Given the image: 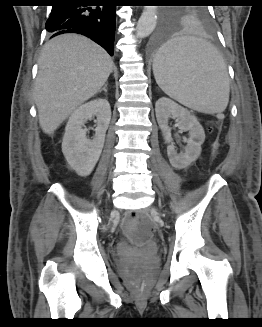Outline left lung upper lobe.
Returning a JSON list of instances; mask_svg holds the SVG:
<instances>
[{
	"label": "left lung upper lobe",
	"mask_w": 262,
	"mask_h": 327,
	"mask_svg": "<svg viewBox=\"0 0 262 327\" xmlns=\"http://www.w3.org/2000/svg\"><path fill=\"white\" fill-rule=\"evenodd\" d=\"M179 3H203V0H177ZM162 27L173 28L181 23L194 25H211V15L205 6H189L183 9H166L163 12Z\"/></svg>",
	"instance_id": "obj_1"
}]
</instances>
